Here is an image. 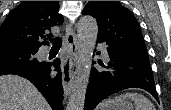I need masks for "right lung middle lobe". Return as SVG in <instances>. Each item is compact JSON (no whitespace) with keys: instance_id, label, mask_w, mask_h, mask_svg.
<instances>
[{"instance_id":"obj_1","label":"right lung middle lobe","mask_w":171,"mask_h":110,"mask_svg":"<svg viewBox=\"0 0 171 110\" xmlns=\"http://www.w3.org/2000/svg\"><path fill=\"white\" fill-rule=\"evenodd\" d=\"M38 50L21 47L0 48V72L19 67H36L43 62L35 58Z\"/></svg>"}]
</instances>
